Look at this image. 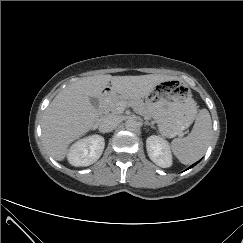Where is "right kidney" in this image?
Listing matches in <instances>:
<instances>
[{
  "label": "right kidney",
  "instance_id": "right-kidney-1",
  "mask_svg": "<svg viewBox=\"0 0 243 243\" xmlns=\"http://www.w3.org/2000/svg\"><path fill=\"white\" fill-rule=\"evenodd\" d=\"M105 147L104 138L92 135L74 143L67 154L68 161L73 166H89L102 155Z\"/></svg>",
  "mask_w": 243,
  "mask_h": 243
}]
</instances>
